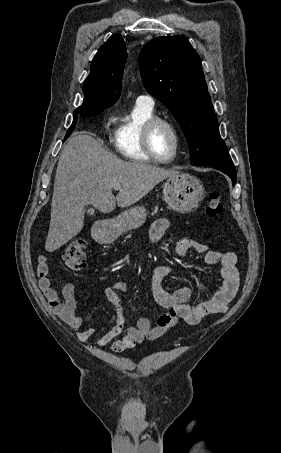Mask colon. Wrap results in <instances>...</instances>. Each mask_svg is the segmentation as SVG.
Returning <instances> with one entry per match:
<instances>
[{
  "instance_id": "1",
  "label": "colon",
  "mask_w": 281,
  "mask_h": 453,
  "mask_svg": "<svg viewBox=\"0 0 281 453\" xmlns=\"http://www.w3.org/2000/svg\"><path fill=\"white\" fill-rule=\"evenodd\" d=\"M207 214L212 219H218L222 215L223 197L219 193H213L206 198ZM64 262H86L88 253L86 250V240L84 238H73L67 244V249L63 254Z\"/></svg>"
}]
</instances>
